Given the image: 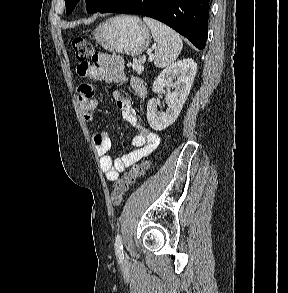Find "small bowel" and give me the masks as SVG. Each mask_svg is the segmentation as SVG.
<instances>
[{
	"instance_id": "obj_1",
	"label": "small bowel",
	"mask_w": 288,
	"mask_h": 293,
	"mask_svg": "<svg viewBox=\"0 0 288 293\" xmlns=\"http://www.w3.org/2000/svg\"><path fill=\"white\" fill-rule=\"evenodd\" d=\"M77 74L81 78H88L94 82L128 83L137 98L145 99L147 96V88L143 80L138 77H127L124 72V62L118 56L96 53L93 55L91 63H80L77 66ZM78 92L83 117L87 122H92L98 105L97 99L93 96V88L88 83H82ZM113 97L122 111L123 119L137 132L132 138L135 149L117 159H113L109 154L112 146L109 135L105 131L93 134L92 140L100 158V168L109 182L117 180L121 172L150 155L160 143L159 136L142 124L138 111L127 97L117 91L113 92Z\"/></svg>"
}]
</instances>
